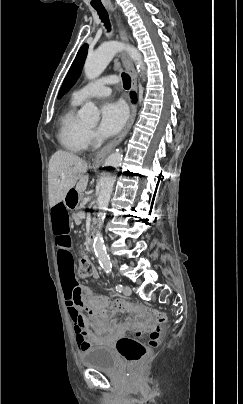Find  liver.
Here are the masks:
<instances>
[{
    "label": "liver",
    "mask_w": 243,
    "mask_h": 404,
    "mask_svg": "<svg viewBox=\"0 0 243 404\" xmlns=\"http://www.w3.org/2000/svg\"><path fill=\"white\" fill-rule=\"evenodd\" d=\"M88 170L87 162L71 154L58 150L49 162L48 190L50 208L64 200L71 188L76 186L77 192H85L88 176H83ZM79 180V182H77Z\"/></svg>",
    "instance_id": "obj_1"
}]
</instances>
